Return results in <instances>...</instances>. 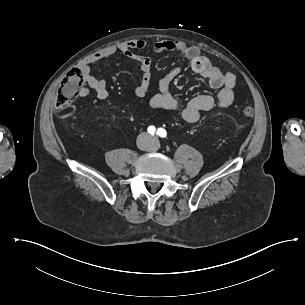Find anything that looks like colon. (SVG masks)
I'll use <instances>...</instances> for the list:
<instances>
[{"mask_svg":"<svg viewBox=\"0 0 305 305\" xmlns=\"http://www.w3.org/2000/svg\"><path fill=\"white\" fill-rule=\"evenodd\" d=\"M84 79L83 71L77 67L68 68L58 85V96L55 99L57 109L72 107L76 103V94ZM253 109L246 107L242 110L244 117H252Z\"/></svg>","mask_w":305,"mask_h":305,"instance_id":"5ec220e1","label":"colon"}]
</instances>
